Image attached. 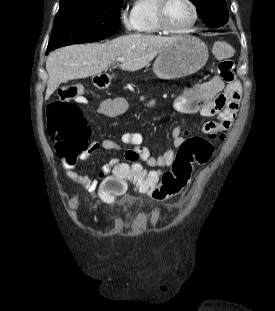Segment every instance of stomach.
<instances>
[{
    "instance_id": "obj_1",
    "label": "stomach",
    "mask_w": 275,
    "mask_h": 311,
    "mask_svg": "<svg viewBox=\"0 0 275 311\" xmlns=\"http://www.w3.org/2000/svg\"><path fill=\"white\" fill-rule=\"evenodd\" d=\"M208 57V48L199 38L179 37L158 54L153 72L160 79H178L198 72Z\"/></svg>"
}]
</instances>
